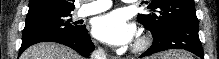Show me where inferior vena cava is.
Here are the masks:
<instances>
[{
	"mask_svg": "<svg viewBox=\"0 0 219 59\" xmlns=\"http://www.w3.org/2000/svg\"><path fill=\"white\" fill-rule=\"evenodd\" d=\"M91 59H106V54L103 49H97L91 54Z\"/></svg>",
	"mask_w": 219,
	"mask_h": 59,
	"instance_id": "obj_1",
	"label": "inferior vena cava"
}]
</instances>
